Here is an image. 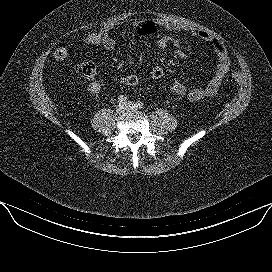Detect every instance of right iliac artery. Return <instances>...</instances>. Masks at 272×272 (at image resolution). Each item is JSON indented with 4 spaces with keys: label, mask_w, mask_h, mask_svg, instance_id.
<instances>
[{
    "label": "right iliac artery",
    "mask_w": 272,
    "mask_h": 272,
    "mask_svg": "<svg viewBox=\"0 0 272 272\" xmlns=\"http://www.w3.org/2000/svg\"><path fill=\"white\" fill-rule=\"evenodd\" d=\"M118 102L119 104H125L127 102V97L124 96V95H121L119 98H118Z\"/></svg>",
    "instance_id": "82829eb1"
}]
</instances>
